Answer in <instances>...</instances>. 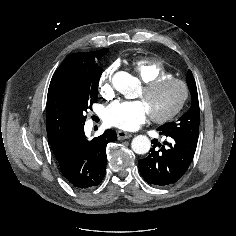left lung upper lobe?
Segmentation results:
<instances>
[{
	"label": "left lung upper lobe",
	"mask_w": 236,
	"mask_h": 236,
	"mask_svg": "<svg viewBox=\"0 0 236 236\" xmlns=\"http://www.w3.org/2000/svg\"><path fill=\"white\" fill-rule=\"evenodd\" d=\"M187 84L191 93V107L189 110L175 122H168L158 129L179 134L188 137L192 140L198 141L200 110L198 102L197 88L192 72L187 73Z\"/></svg>",
	"instance_id": "5c2ea615"
}]
</instances>
